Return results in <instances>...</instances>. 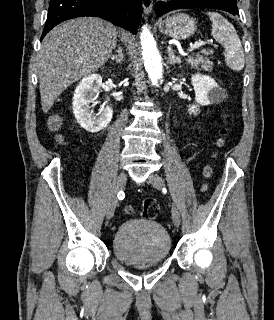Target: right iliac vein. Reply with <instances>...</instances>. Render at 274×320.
<instances>
[{
    "label": "right iliac vein",
    "mask_w": 274,
    "mask_h": 320,
    "mask_svg": "<svg viewBox=\"0 0 274 320\" xmlns=\"http://www.w3.org/2000/svg\"><path fill=\"white\" fill-rule=\"evenodd\" d=\"M126 181H127V176L124 172L120 173L118 178H117V182L113 191V194L111 196V199L109 201L108 207H107V219L112 218L116 205H117V194L118 192L122 191L126 185Z\"/></svg>",
    "instance_id": "63e3f726"
}]
</instances>
